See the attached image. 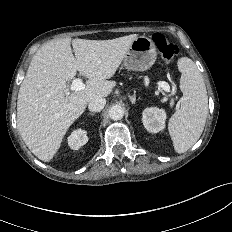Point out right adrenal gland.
Instances as JSON below:
<instances>
[{
	"label": "right adrenal gland",
	"mask_w": 232,
	"mask_h": 232,
	"mask_svg": "<svg viewBox=\"0 0 232 232\" xmlns=\"http://www.w3.org/2000/svg\"><path fill=\"white\" fill-rule=\"evenodd\" d=\"M88 115L95 116V113H89Z\"/></svg>",
	"instance_id": "right-adrenal-gland-1"
}]
</instances>
